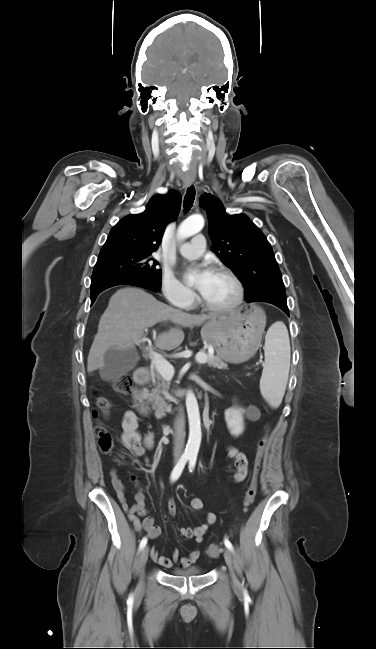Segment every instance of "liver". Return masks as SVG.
I'll list each match as a JSON object with an SVG mask.
<instances>
[{"instance_id":"6515ba94","label":"liver","mask_w":376,"mask_h":649,"mask_svg":"<svg viewBox=\"0 0 376 649\" xmlns=\"http://www.w3.org/2000/svg\"><path fill=\"white\" fill-rule=\"evenodd\" d=\"M211 319L207 315H190L173 309L139 288L119 289L110 298L99 321L98 332L87 359V371L102 368L104 354L110 348L134 349L140 343L144 330L160 321L193 327ZM183 340L182 330L170 329L157 336L155 345L161 350L170 351L177 348Z\"/></svg>"}]
</instances>
